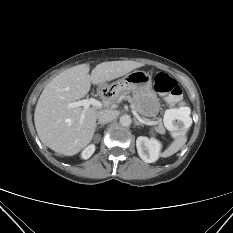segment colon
Listing matches in <instances>:
<instances>
[{
  "mask_svg": "<svg viewBox=\"0 0 233 233\" xmlns=\"http://www.w3.org/2000/svg\"><path fill=\"white\" fill-rule=\"evenodd\" d=\"M157 92L168 96V107L164 116L170 133L176 137L184 134L191 123V111L182 97L178 83L166 73H158L154 78Z\"/></svg>",
  "mask_w": 233,
  "mask_h": 233,
  "instance_id": "colon-1",
  "label": "colon"
}]
</instances>
